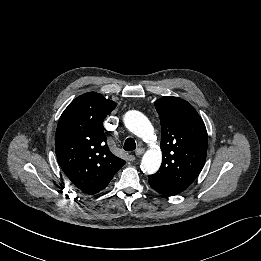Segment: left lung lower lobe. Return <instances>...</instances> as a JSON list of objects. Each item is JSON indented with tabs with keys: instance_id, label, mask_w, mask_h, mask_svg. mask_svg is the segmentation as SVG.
Instances as JSON below:
<instances>
[{
	"instance_id": "left-lung-lower-lobe-1",
	"label": "left lung lower lobe",
	"mask_w": 261,
	"mask_h": 261,
	"mask_svg": "<svg viewBox=\"0 0 261 261\" xmlns=\"http://www.w3.org/2000/svg\"><path fill=\"white\" fill-rule=\"evenodd\" d=\"M151 185V187L155 190V191H157V192H159L160 194H162V195H165L162 191H160L157 187H155L154 185H152V184H150ZM165 196H167V195H165Z\"/></svg>"
}]
</instances>
